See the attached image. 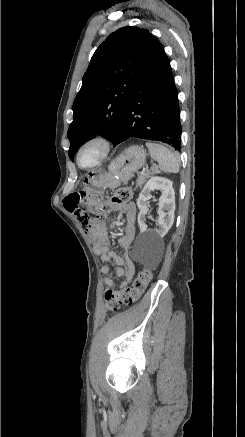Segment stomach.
<instances>
[{
    "label": "stomach",
    "mask_w": 245,
    "mask_h": 437,
    "mask_svg": "<svg viewBox=\"0 0 245 437\" xmlns=\"http://www.w3.org/2000/svg\"><path fill=\"white\" fill-rule=\"evenodd\" d=\"M145 161V149L139 145L130 146L110 164L108 172L101 170L89 172L83 179V185L98 193L106 188H117L130 180Z\"/></svg>",
    "instance_id": "1"
}]
</instances>
